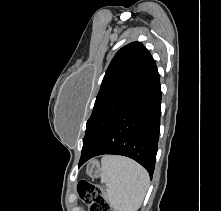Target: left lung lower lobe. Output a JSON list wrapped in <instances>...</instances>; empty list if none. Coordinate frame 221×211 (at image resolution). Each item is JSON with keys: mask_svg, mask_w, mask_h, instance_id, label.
Returning <instances> with one entry per match:
<instances>
[{"mask_svg": "<svg viewBox=\"0 0 221 211\" xmlns=\"http://www.w3.org/2000/svg\"><path fill=\"white\" fill-rule=\"evenodd\" d=\"M160 105V77L155 65L138 94L80 158L79 167L94 156L123 155L140 163L152 178L159 139Z\"/></svg>", "mask_w": 221, "mask_h": 211, "instance_id": "obj_1", "label": "left lung lower lobe"}]
</instances>
